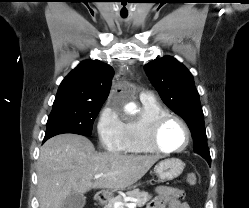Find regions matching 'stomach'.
<instances>
[{
    "label": "stomach",
    "mask_w": 249,
    "mask_h": 208,
    "mask_svg": "<svg viewBox=\"0 0 249 208\" xmlns=\"http://www.w3.org/2000/svg\"><path fill=\"white\" fill-rule=\"evenodd\" d=\"M184 169V163L178 158H170L160 161L154 168L159 181L164 182L177 178Z\"/></svg>",
    "instance_id": "0dacf381"
}]
</instances>
